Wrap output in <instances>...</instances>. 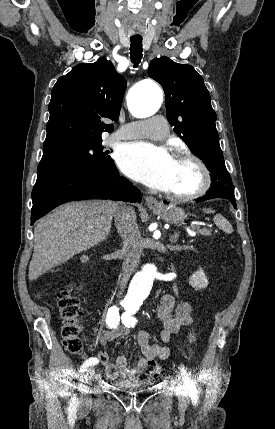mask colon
I'll return each mask as SVG.
<instances>
[{"mask_svg": "<svg viewBox=\"0 0 275 429\" xmlns=\"http://www.w3.org/2000/svg\"><path fill=\"white\" fill-rule=\"evenodd\" d=\"M57 305L62 318L61 333L64 339L66 350L71 354H77L82 348V324H81V309L78 299L73 293V287L67 286L57 295ZM102 363L107 362V355L100 353ZM148 373L155 378L159 372V365L151 360L148 362Z\"/></svg>", "mask_w": 275, "mask_h": 429, "instance_id": "1", "label": "colon"}]
</instances>
